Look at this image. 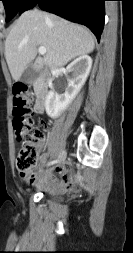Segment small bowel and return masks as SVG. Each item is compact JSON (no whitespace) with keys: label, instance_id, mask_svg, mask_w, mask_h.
I'll use <instances>...</instances> for the list:
<instances>
[{"label":"small bowel","instance_id":"1","mask_svg":"<svg viewBox=\"0 0 133 253\" xmlns=\"http://www.w3.org/2000/svg\"><path fill=\"white\" fill-rule=\"evenodd\" d=\"M48 156H43L39 164L33 169L20 173V177L27 183H35L39 188L49 189L57 192H64L72 189L76 183V176L66 166L56 169L58 177L52 173H44V166Z\"/></svg>","mask_w":133,"mask_h":253}]
</instances>
